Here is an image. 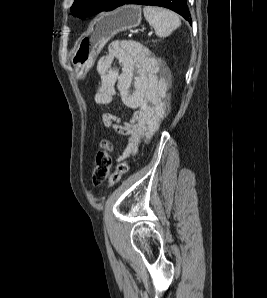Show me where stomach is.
Segmentation results:
<instances>
[{"label": "stomach", "mask_w": 267, "mask_h": 298, "mask_svg": "<svg viewBox=\"0 0 267 298\" xmlns=\"http://www.w3.org/2000/svg\"><path fill=\"white\" fill-rule=\"evenodd\" d=\"M141 20V8L138 5H124L97 19L90 33L81 38L72 52L71 62L77 77L86 74L104 45L115 34L138 27Z\"/></svg>", "instance_id": "obj_1"}]
</instances>
